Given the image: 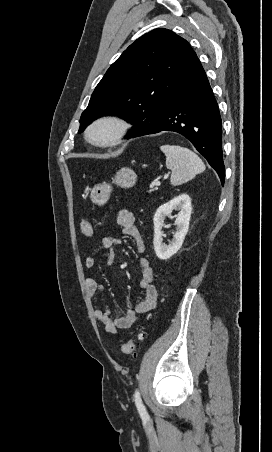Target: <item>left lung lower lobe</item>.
<instances>
[{
    "mask_svg": "<svg viewBox=\"0 0 272 452\" xmlns=\"http://www.w3.org/2000/svg\"><path fill=\"white\" fill-rule=\"evenodd\" d=\"M164 130L178 132L190 140L224 184L221 116L206 73L197 56L175 86L158 122L147 128L137 129L126 138Z\"/></svg>",
    "mask_w": 272,
    "mask_h": 452,
    "instance_id": "obj_1",
    "label": "left lung lower lobe"
}]
</instances>
